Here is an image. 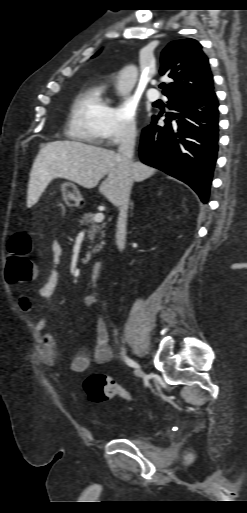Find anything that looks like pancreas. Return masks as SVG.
Masks as SVG:
<instances>
[{
  "mask_svg": "<svg viewBox=\"0 0 247 513\" xmlns=\"http://www.w3.org/2000/svg\"><path fill=\"white\" fill-rule=\"evenodd\" d=\"M94 216H95L94 213L86 212L78 220L80 226L92 224V226L90 227V230H89V238L91 241H93L95 236L98 234L101 235V238H103L105 236V233L103 230L104 225L103 224L102 225L93 224ZM101 248H102V244L97 245V247L93 250V252H98Z\"/></svg>",
  "mask_w": 247,
  "mask_h": 513,
  "instance_id": "obj_1",
  "label": "pancreas"
}]
</instances>
